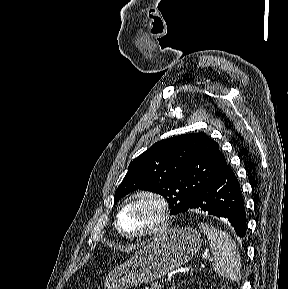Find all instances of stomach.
<instances>
[{
	"label": "stomach",
	"mask_w": 288,
	"mask_h": 289,
	"mask_svg": "<svg viewBox=\"0 0 288 289\" xmlns=\"http://www.w3.org/2000/svg\"><path fill=\"white\" fill-rule=\"evenodd\" d=\"M199 232L191 227H174L159 234L128 262L106 277L104 289H128L156 280L188 262L201 247Z\"/></svg>",
	"instance_id": "0dacf381"
}]
</instances>
